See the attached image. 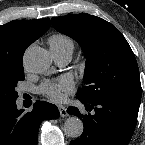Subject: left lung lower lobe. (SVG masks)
Masks as SVG:
<instances>
[{
    "mask_svg": "<svg viewBox=\"0 0 145 145\" xmlns=\"http://www.w3.org/2000/svg\"><path fill=\"white\" fill-rule=\"evenodd\" d=\"M87 111L83 115L76 107L67 109L69 114L82 119L84 131L70 145H127L133 135L141 95H119L94 102L77 97Z\"/></svg>",
    "mask_w": 145,
    "mask_h": 145,
    "instance_id": "left-lung-lower-lobe-1",
    "label": "left lung lower lobe"
}]
</instances>
